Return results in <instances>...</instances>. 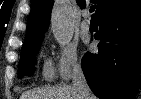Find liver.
<instances>
[{
  "label": "liver",
  "mask_w": 141,
  "mask_h": 99,
  "mask_svg": "<svg viewBox=\"0 0 141 99\" xmlns=\"http://www.w3.org/2000/svg\"><path fill=\"white\" fill-rule=\"evenodd\" d=\"M20 99H80L78 91L72 85L34 88L25 91Z\"/></svg>",
  "instance_id": "liver-1"
}]
</instances>
